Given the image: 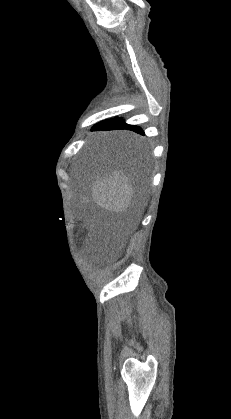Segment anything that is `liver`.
Wrapping results in <instances>:
<instances>
[{
	"instance_id": "6515ba94",
	"label": "liver",
	"mask_w": 231,
	"mask_h": 419,
	"mask_svg": "<svg viewBox=\"0 0 231 419\" xmlns=\"http://www.w3.org/2000/svg\"><path fill=\"white\" fill-rule=\"evenodd\" d=\"M121 139L135 138L128 132L116 133ZM131 144V143H130ZM132 144L131 146H135ZM92 197L97 205L114 212H125L131 205L135 190L130 178L121 170H112L103 176L97 175L91 186Z\"/></svg>"
}]
</instances>
